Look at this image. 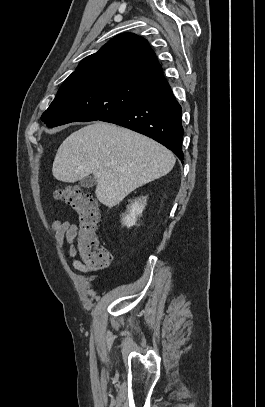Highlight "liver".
I'll list each match as a JSON object with an SVG mask.
<instances>
[{
	"mask_svg": "<svg viewBox=\"0 0 265 407\" xmlns=\"http://www.w3.org/2000/svg\"><path fill=\"white\" fill-rule=\"evenodd\" d=\"M175 161L173 153L153 139L98 121L63 141L52 172L68 183L93 174L97 199L111 208L136 188L168 174Z\"/></svg>",
	"mask_w": 265,
	"mask_h": 407,
	"instance_id": "liver-1",
	"label": "liver"
}]
</instances>
